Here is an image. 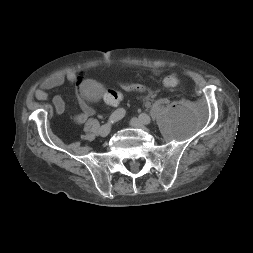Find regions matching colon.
Here are the masks:
<instances>
[{
  "mask_svg": "<svg viewBox=\"0 0 253 253\" xmlns=\"http://www.w3.org/2000/svg\"><path fill=\"white\" fill-rule=\"evenodd\" d=\"M164 84L168 87H177L181 85V79L176 74H170L164 79ZM117 85L126 91L145 92L146 88L140 84H132L119 81ZM104 101L109 105H117L122 100V95L113 90H106L103 94Z\"/></svg>",
  "mask_w": 253,
  "mask_h": 253,
  "instance_id": "1",
  "label": "colon"
}]
</instances>
